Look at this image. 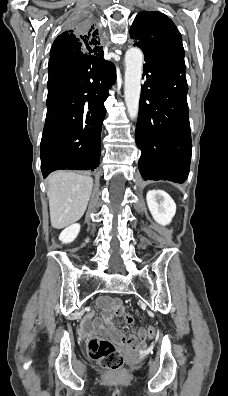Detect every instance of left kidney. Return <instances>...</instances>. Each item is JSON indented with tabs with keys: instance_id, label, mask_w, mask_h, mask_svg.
Listing matches in <instances>:
<instances>
[{
	"instance_id": "5707ae66",
	"label": "left kidney",
	"mask_w": 228,
	"mask_h": 396,
	"mask_svg": "<svg viewBox=\"0 0 228 396\" xmlns=\"http://www.w3.org/2000/svg\"><path fill=\"white\" fill-rule=\"evenodd\" d=\"M146 201L154 220L162 226L171 223L176 213V204L173 199L162 190H149Z\"/></svg>"
}]
</instances>
